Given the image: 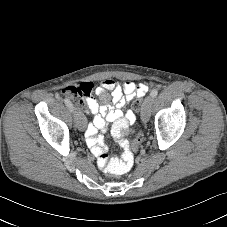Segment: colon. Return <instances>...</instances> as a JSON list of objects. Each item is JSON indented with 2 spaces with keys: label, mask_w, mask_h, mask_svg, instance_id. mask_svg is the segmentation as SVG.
Instances as JSON below:
<instances>
[{
  "label": "colon",
  "mask_w": 227,
  "mask_h": 227,
  "mask_svg": "<svg viewBox=\"0 0 227 227\" xmlns=\"http://www.w3.org/2000/svg\"><path fill=\"white\" fill-rule=\"evenodd\" d=\"M64 94H68L70 96H76L79 92L75 90L73 87H67L62 91ZM141 97L137 98L133 102V109L135 111H139L141 108ZM144 132L138 131L137 138L135 142L129 146L127 145L124 149V159L119 162L117 159L111 157L108 153H102L98 157V165L100 168L104 169L106 172L112 174H123L130 169L133 164V153H138L140 150V145L143 144Z\"/></svg>",
  "instance_id": "1"
}]
</instances>
